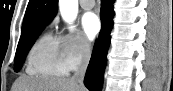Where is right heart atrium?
I'll return each mask as SVG.
<instances>
[{
    "label": "right heart atrium",
    "mask_w": 173,
    "mask_h": 91,
    "mask_svg": "<svg viewBox=\"0 0 173 91\" xmlns=\"http://www.w3.org/2000/svg\"><path fill=\"white\" fill-rule=\"evenodd\" d=\"M58 42L62 58L69 71L79 68L90 55L91 45L79 32L63 33Z\"/></svg>",
    "instance_id": "right-heart-atrium-1"
}]
</instances>
